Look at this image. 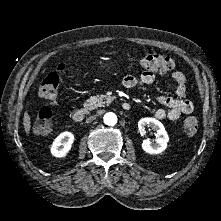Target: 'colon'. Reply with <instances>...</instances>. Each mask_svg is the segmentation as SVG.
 <instances>
[{"instance_id": "colon-1", "label": "colon", "mask_w": 221, "mask_h": 221, "mask_svg": "<svg viewBox=\"0 0 221 221\" xmlns=\"http://www.w3.org/2000/svg\"><path fill=\"white\" fill-rule=\"evenodd\" d=\"M173 61L171 58L161 54H150L139 61V66L149 73H166L173 68ZM62 70V68H59ZM59 91V76L57 73L48 74L41 82L39 87V94L49 100L52 105L58 103ZM199 128L198 120L195 117H186L181 125L182 131L188 135L193 136L197 133ZM53 130V114L50 109H42L35 122L34 131L37 135L47 136Z\"/></svg>"}]
</instances>
